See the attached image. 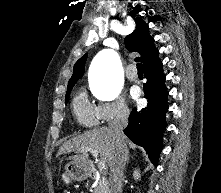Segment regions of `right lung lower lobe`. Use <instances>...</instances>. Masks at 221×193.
<instances>
[{
	"label": "right lung lower lobe",
	"mask_w": 221,
	"mask_h": 193,
	"mask_svg": "<svg viewBox=\"0 0 221 193\" xmlns=\"http://www.w3.org/2000/svg\"><path fill=\"white\" fill-rule=\"evenodd\" d=\"M147 82L143 84L147 107L134 108L129 116V124L124 133L137 145L142 146L151 162L158 165L159 152L162 148L165 113L167 112V95L165 75L162 73V62L144 69Z\"/></svg>",
	"instance_id": "right-lung-lower-lobe-1"
}]
</instances>
